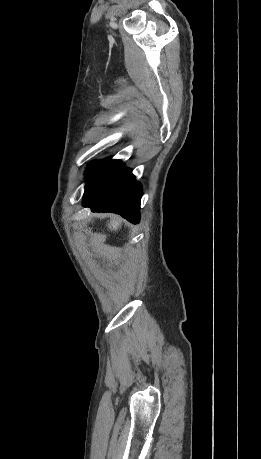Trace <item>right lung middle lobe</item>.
Returning <instances> with one entry per match:
<instances>
[{"label": "right lung middle lobe", "mask_w": 261, "mask_h": 459, "mask_svg": "<svg viewBox=\"0 0 261 459\" xmlns=\"http://www.w3.org/2000/svg\"><path fill=\"white\" fill-rule=\"evenodd\" d=\"M123 164L120 160H102L91 163L87 170L88 182L84 198L89 197L106 179L115 173Z\"/></svg>", "instance_id": "obj_1"}]
</instances>
